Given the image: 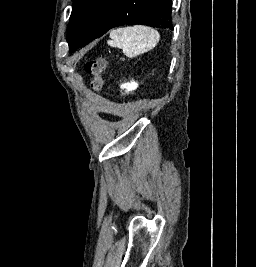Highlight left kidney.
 Wrapping results in <instances>:
<instances>
[{"mask_svg": "<svg viewBox=\"0 0 256 267\" xmlns=\"http://www.w3.org/2000/svg\"><path fill=\"white\" fill-rule=\"evenodd\" d=\"M121 90H125V92H132V90H136L138 88L137 82H127V84H121L120 86Z\"/></svg>", "mask_w": 256, "mask_h": 267, "instance_id": "5707ae66", "label": "left kidney"}]
</instances>
